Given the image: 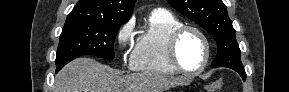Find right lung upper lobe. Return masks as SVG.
<instances>
[{
    "label": "right lung upper lobe",
    "mask_w": 289,
    "mask_h": 92,
    "mask_svg": "<svg viewBox=\"0 0 289 92\" xmlns=\"http://www.w3.org/2000/svg\"><path fill=\"white\" fill-rule=\"evenodd\" d=\"M136 0H79L66 22L126 23Z\"/></svg>",
    "instance_id": "right-lung-upper-lobe-1"
}]
</instances>
